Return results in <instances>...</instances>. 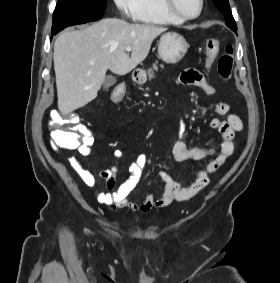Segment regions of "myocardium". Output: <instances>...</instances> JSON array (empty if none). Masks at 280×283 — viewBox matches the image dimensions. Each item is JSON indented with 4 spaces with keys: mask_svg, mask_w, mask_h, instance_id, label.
Masks as SVG:
<instances>
[{
    "mask_svg": "<svg viewBox=\"0 0 280 283\" xmlns=\"http://www.w3.org/2000/svg\"><path fill=\"white\" fill-rule=\"evenodd\" d=\"M164 5L166 10L175 16L176 18L182 20V21H188V20H193L198 18L204 9V0H199V10L195 15H187L181 12L180 10L177 9L175 6V1L174 0H164Z\"/></svg>",
    "mask_w": 280,
    "mask_h": 283,
    "instance_id": "obj_1",
    "label": "myocardium"
}]
</instances>
